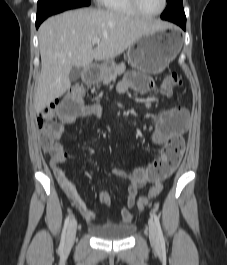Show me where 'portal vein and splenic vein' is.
<instances>
[{
    "label": "portal vein and splenic vein",
    "mask_w": 227,
    "mask_h": 265,
    "mask_svg": "<svg viewBox=\"0 0 227 265\" xmlns=\"http://www.w3.org/2000/svg\"><path fill=\"white\" fill-rule=\"evenodd\" d=\"M100 38H94L92 39V44H99Z\"/></svg>",
    "instance_id": "18ae733b"
}]
</instances>
